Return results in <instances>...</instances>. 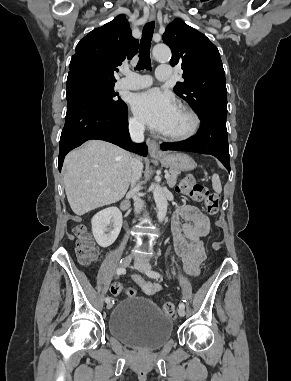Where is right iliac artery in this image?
<instances>
[{
  "instance_id": "obj_1",
  "label": "right iliac artery",
  "mask_w": 291,
  "mask_h": 381,
  "mask_svg": "<svg viewBox=\"0 0 291 381\" xmlns=\"http://www.w3.org/2000/svg\"><path fill=\"white\" fill-rule=\"evenodd\" d=\"M125 269L123 267H120L116 270L117 275H121L125 273ZM105 301L108 303L110 301V297H106Z\"/></svg>"
}]
</instances>
